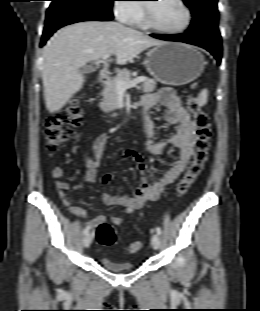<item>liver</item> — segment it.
Wrapping results in <instances>:
<instances>
[{
	"mask_svg": "<svg viewBox=\"0 0 260 311\" xmlns=\"http://www.w3.org/2000/svg\"><path fill=\"white\" fill-rule=\"evenodd\" d=\"M164 43L113 21H84L61 28L44 48L47 110L59 111L82 88L85 78L80 69L86 63L114 54L116 63L125 65L147 48Z\"/></svg>",
	"mask_w": 260,
	"mask_h": 311,
	"instance_id": "1",
	"label": "liver"
}]
</instances>
